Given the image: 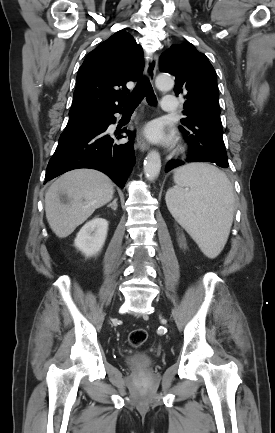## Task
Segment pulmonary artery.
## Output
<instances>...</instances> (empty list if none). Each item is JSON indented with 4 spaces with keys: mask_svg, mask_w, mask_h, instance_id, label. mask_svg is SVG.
Returning a JSON list of instances; mask_svg holds the SVG:
<instances>
[{
    "mask_svg": "<svg viewBox=\"0 0 275 433\" xmlns=\"http://www.w3.org/2000/svg\"><path fill=\"white\" fill-rule=\"evenodd\" d=\"M177 108V99L174 95H164L161 102V109L165 113H173Z\"/></svg>",
    "mask_w": 275,
    "mask_h": 433,
    "instance_id": "pulmonary-artery-1",
    "label": "pulmonary artery"
}]
</instances>
